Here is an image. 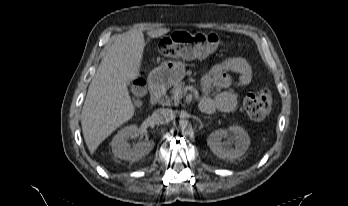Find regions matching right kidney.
Wrapping results in <instances>:
<instances>
[{"label": "right kidney", "instance_id": "obj_1", "mask_svg": "<svg viewBox=\"0 0 348 206\" xmlns=\"http://www.w3.org/2000/svg\"><path fill=\"white\" fill-rule=\"evenodd\" d=\"M139 135L136 125L126 126L118 131L111 141L112 153L115 157L127 161H138L147 155L153 148V142L142 141L131 147L127 140L134 139Z\"/></svg>", "mask_w": 348, "mask_h": 206}]
</instances>
